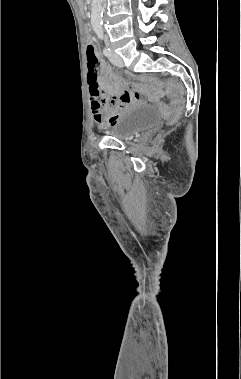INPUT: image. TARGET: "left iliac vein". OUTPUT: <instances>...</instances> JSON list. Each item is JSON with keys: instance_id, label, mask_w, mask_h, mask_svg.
<instances>
[{"instance_id": "1", "label": "left iliac vein", "mask_w": 241, "mask_h": 379, "mask_svg": "<svg viewBox=\"0 0 241 379\" xmlns=\"http://www.w3.org/2000/svg\"><path fill=\"white\" fill-rule=\"evenodd\" d=\"M109 59L117 67H123L124 66V62H123L122 58L114 52H111Z\"/></svg>"}]
</instances>
